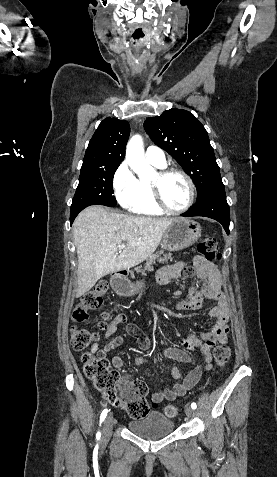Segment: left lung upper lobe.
<instances>
[{
  "label": "left lung upper lobe",
  "instance_id": "5c2ea615",
  "mask_svg": "<svg viewBox=\"0 0 277 477\" xmlns=\"http://www.w3.org/2000/svg\"><path fill=\"white\" fill-rule=\"evenodd\" d=\"M144 128L152 141L167 151L190 175L201 199L220 180L219 166L204 126L186 110L170 109L148 118Z\"/></svg>",
  "mask_w": 277,
  "mask_h": 477
}]
</instances>
